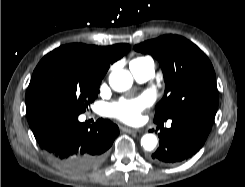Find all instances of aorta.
I'll list each match as a JSON object with an SVG mask.
<instances>
[{"mask_svg":"<svg viewBox=\"0 0 245 187\" xmlns=\"http://www.w3.org/2000/svg\"><path fill=\"white\" fill-rule=\"evenodd\" d=\"M111 88L117 92H123L131 88L133 78L129 71L116 69L109 76ZM141 145L147 151H152L157 145V137L154 134H145L141 138Z\"/></svg>","mask_w":245,"mask_h":187,"instance_id":"obj_1","label":"aorta"}]
</instances>
